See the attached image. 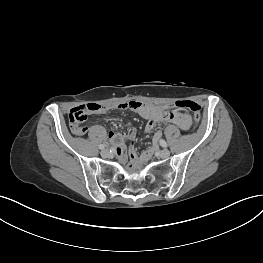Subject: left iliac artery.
I'll use <instances>...</instances> for the list:
<instances>
[{"label":"left iliac artery","mask_w":263,"mask_h":263,"mask_svg":"<svg viewBox=\"0 0 263 263\" xmlns=\"http://www.w3.org/2000/svg\"><path fill=\"white\" fill-rule=\"evenodd\" d=\"M160 145L164 148H167V143L164 140H160Z\"/></svg>","instance_id":"left-iliac-artery-1"}]
</instances>
